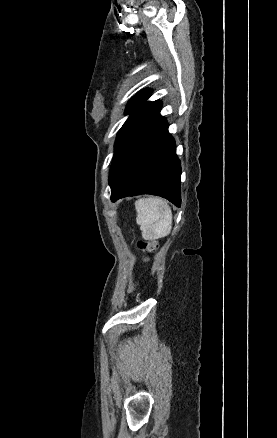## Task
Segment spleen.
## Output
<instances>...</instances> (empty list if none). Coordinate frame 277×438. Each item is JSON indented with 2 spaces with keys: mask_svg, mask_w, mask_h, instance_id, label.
Masks as SVG:
<instances>
[{
  "mask_svg": "<svg viewBox=\"0 0 277 438\" xmlns=\"http://www.w3.org/2000/svg\"><path fill=\"white\" fill-rule=\"evenodd\" d=\"M136 222L144 240H158L171 232L172 212L162 198H141L135 202Z\"/></svg>",
  "mask_w": 277,
  "mask_h": 438,
  "instance_id": "spleen-1",
  "label": "spleen"
}]
</instances>
